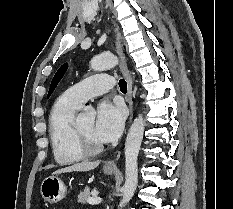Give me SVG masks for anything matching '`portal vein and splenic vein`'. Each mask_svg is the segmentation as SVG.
Instances as JSON below:
<instances>
[{
    "mask_svg": "<svg viewBox=\"0 0 233 209\" xmlns=\"http://www.w3.org/2000/svg\"><path fill=\"white\" fill-rule=\"evenodd\" d=\"M101 202H102V199L99 198V197H90V198L88 199V203H89L90 205H98V204H100Z\"/></svg>",
    "mask_w": 233,
    "mask_h": 209,
    "instance_id": "18ae733b",
    "label": "portal vein and splenic vein"
}]
</instances>
